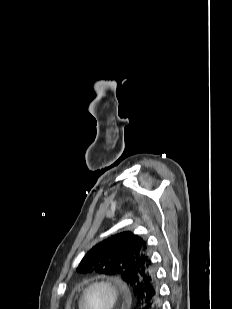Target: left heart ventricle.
Returning a JSON list of instances; mask_svg holds the SVG:
<instances>
[{
    "label": "left heart ventricle",
    "instance_id": "left-heart-ventricle-1",
    "mask_svg": "<svg viewBox=\"0 0 232 309\" xmlns=\"http://www.w3.org/2000/svg\"><path fill=\"white\" fill-rule=\"evenodd\" d=\"M110 296L102 287L90 289L86 295V309H108Z\"/></svg>",
    "mask_w": 232,
    "mask_h": 309
}]
</instances>
